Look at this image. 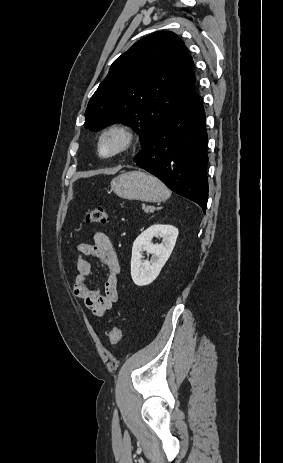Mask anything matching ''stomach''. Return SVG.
<instances>
[{"label":"stomach","mask_w":283,"mask_h":463,"mask_svg":"<svg viewBox=\"0 0 283 463\" xmlns=\"http://www.w3.org/2000/svg\"><path fill=\"white\" fill-rule=\"evenodd\" d=\"M113 192L127 200L159 202L165 200L167 188L156 177L142 171H130L115 177L111 183Z\"/></svg>","instance_id":"0dacf381"}]
</instances>
